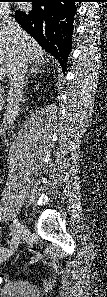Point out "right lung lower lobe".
Returning a JSON list of instances; mask_svg holds the SVG:
<instances>
[{
  "instance_id": "1",
  "label": "right lung lower lobe",
  "mask_w": 107,
  "mask_h": 297,
  "mask_svg": "<svg viewBox=\"0 0 107 297\" xmlns=\"http://www.w3.org/2000/svg\"><path fill=\"white\" fill-rule=\"evenodd\" d=\"M32 11L15 12V20L52 56L65 71L72 46L75 0H33Z\"/></svg>"
}]
</instances>
